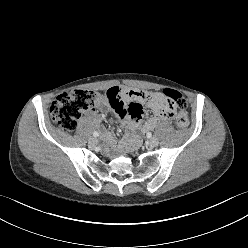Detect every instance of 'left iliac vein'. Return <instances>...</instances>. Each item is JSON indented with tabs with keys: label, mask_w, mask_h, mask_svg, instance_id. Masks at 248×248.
<instances>
[{
	"label": "left iliac vein",
	"mask_w": 248,
	"mask_h": 248,
	"mask_svg": "<svg viewBox=\"0 0 248 248\" xmlns=\"http://www.w3.org/2000/svg\"><path fill=\"white\" fill-rule=\"evenodd\" d=\"M159 143V140L157 137H152L150 140H149V144L150 146L152 147H156Z\"/></svg>",
	"instance_id": "4c4485c4"
}]
</instances>
